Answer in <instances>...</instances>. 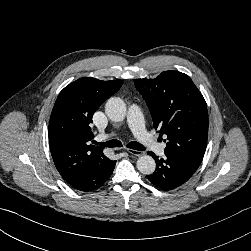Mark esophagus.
Returning <instances> with one entry per match:
<instances>
[{
    "instance_id": "esophagus-1",
    "label": "esophagus",
    "mask_w": 251,
    "mask_h": 251,
    "mask_svg": "<svg viewBox=\"0 0 251 251\" xmlns=\"http://www.w3.org/2000/svg\"><path fill=\"white\" fill-rule=\"evenodd\" d=\"M126 151L128 153H130L131 155H134V156H137V157H140L144 154V152L142 151H137V150H133V149H126Z\"/></svg>"
}]
</instances>
